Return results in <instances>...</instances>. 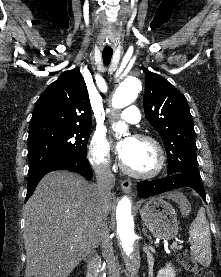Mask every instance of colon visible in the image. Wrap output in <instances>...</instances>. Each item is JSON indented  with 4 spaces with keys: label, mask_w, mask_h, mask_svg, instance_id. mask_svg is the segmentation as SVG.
Instances as JSON below:
<instances>
[{
    "label": "colon",
    "mask_w": 221,
    "mask_h": 277,
    "mask_svg": "<svg viewBox=\"0 0 221 277\" xmlns=\"http://www.w3.org/2000/svg\"><path fill=\"white\" fill-rule=\"evenodd\" d=\"M181 265L195 277H215L213 272L207 268L200 267L197 262L186 254H182L179 258Z\"/></svg>",
    "instance_id": "colon-1"
}]
</instances>
